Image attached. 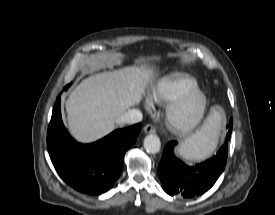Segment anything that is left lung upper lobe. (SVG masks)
Here are the masks:
<instances>
[{
  "mask_svg": "<svg viewBox=\"0 0 275 215\" xmlns=\"http://www.w3.org/2000/svg\"><path fill=\"white\" fill-rule=\"evenodd\" d=\"M227 154H228L227 146L226 147L222 146L216 155L219 156V157L227 159Z\"/></svg>",
  "mask_w": 275,
  "mask_h": 215,
  "instance_id": "5c2ea615",
  "label": "left lung upper lobe"
}]
</instances>
